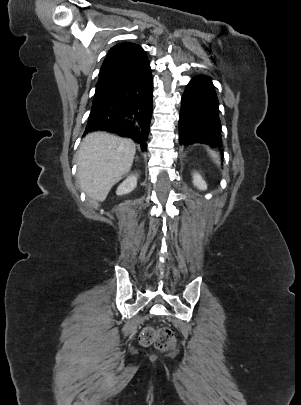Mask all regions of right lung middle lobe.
<instances>
[{
  "instance_id": "right-lung-middle-lobe-1",
  "label": "right lung middle lobe",
  "mask_w": 301,
  "mask_h": 405,
  "mask_svg": "<svg viewBox=\"0 0 301 405\" xmlns=\"http://www.w3.org/2000/svg\"><path fill=\"white\" fill-rule=\"evenodd\" d=\"M103 96H104V95H98V94H96V95L94 96L93 104L96 103L98 100H100Z\"/></svg>"
}]
</instances>
